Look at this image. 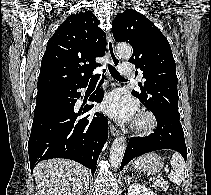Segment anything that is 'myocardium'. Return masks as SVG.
<instances>
[{
	"label": "myocardium",
	"instance_id": "obj_1",
	"mask_svg": "<svg viewBox=\"0 0 211 195\" xmlns=\"http://www.w3.org/2000/svg\"><path fill=\"white\" fill-rule=\"evenodd\" d=\"M157 127V118L150 111H141L135 118L132 129L139 135H148Z\"/></svg>",
	"mask_w": 211,
	"mask_h": 195
}]
</instances>
